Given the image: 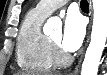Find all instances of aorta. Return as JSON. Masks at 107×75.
<instances>
[{
  "label": "aorta",
  "mask_w": 107,
  "mask_h": 75,
  "mask_svg": "<svg viewBox=\"0 0 107 75\" xmlns=\"http://www.w3.org/2000/svg\"><path fill=\"white\" fill-rule=\"evenodd\" d=\"M93 8L91 41L82 64L81 75H97L107 41V0H93ZM46 26L50 29L54 27L60 29V25H56L53 19H49Z\"/></svg>",
  "instance_id": "aorta-1"
}]
</instances>
